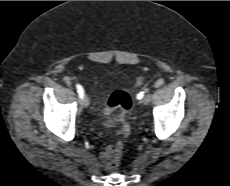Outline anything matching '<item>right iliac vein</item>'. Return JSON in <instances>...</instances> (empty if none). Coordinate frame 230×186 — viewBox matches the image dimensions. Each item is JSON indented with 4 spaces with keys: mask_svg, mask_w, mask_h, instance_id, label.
Listing matches in <instances>:
<instances>
[{
    "mask_svg": "<svg viewBox=\"0 0 230 186\" xmlns=\"http://www.w3.org/2000/svg\"><path fill=\"white\" fill-rule=\"evenodd\" d=\"M81 103L83 105V107L87 108L89 106V98L86 94L83 95L82 99H81Z\"/></svg>",
    "mask_w": 230,
    "mask_h": 186,
    "instance_id": "1",
    "label": "right iliac vein"
}]
</instances>
